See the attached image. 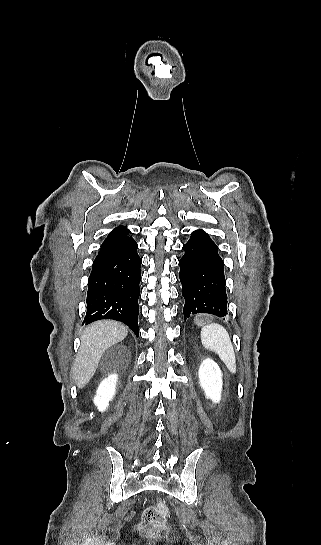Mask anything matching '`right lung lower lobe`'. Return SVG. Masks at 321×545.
<instances>
[{
    "label": "right lung lower lobe",
    "instance_id": "obj_1",
    "mask_svg": "<svg viewBox=\"0 0 321 545\" xmlns=\"http://www.w3.org/2000/svg\"><path fill=\"white\" fill-rule=\"evenodd\" d=\"M126 227L115 228L104 240L89 277L87 312L83 324L113 319L139 336L137 318L141 258Z\"/></svg>",
    "mask_w": 321,
    "mask_h": 545
}]
</instances>
